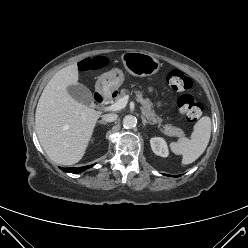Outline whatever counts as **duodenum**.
<instances>
[{
	"label": "duodenum",
	"instance_id": "410a0bca",
	"mask_svg": "<svg viewBox=\"0 0 248 248\" xmlns=\"http://www.w3.org/2000/svg\"><path fill=\"white\" fill-rule=\"evenodd\" d=\"M94 97H95V100L97 102L101 103V102H105V101L109 100L110 95L109 94H104V93H101V92H97Z\"/></svg>",
	"mask_w": 248,
	"mask_h": 248
}]
</instances>
